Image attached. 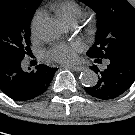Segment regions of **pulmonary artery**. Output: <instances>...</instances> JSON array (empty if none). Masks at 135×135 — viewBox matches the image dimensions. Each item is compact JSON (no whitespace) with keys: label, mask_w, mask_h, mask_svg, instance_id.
I'll return each mask as SVG.
<instances>
[{"label":"pulmonary artery","mask_w":135,"mask_h":135,"mask_svg":"<svg viewBox=\"0 0 135 135\" xmlns=\"http://www.w3.org/2000/svg\"><path fill=\"white\" fill-rule=\"evenodd\" d=\"M68 25H69L71 28H74V27H76L77 22H76V21H72V22H69ZM108 63H109L108 61L105 62L106 65H107Z\"/></svg>","instance_id":"e3ab8cb5"}]
</instances>
